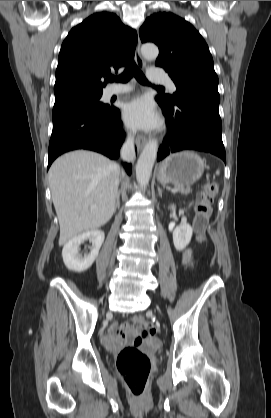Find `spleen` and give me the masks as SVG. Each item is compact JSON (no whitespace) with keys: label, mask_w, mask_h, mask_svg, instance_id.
<instances>
[{"label":"spleen","mask_w":271,"mask_h":418,"mask_svg":"<svg viewBox=\"0 0 271 418\" xmlns=\"http://www.w3.org/2000/svg\"><path fill=\"white\" fill-rule=\"evenodd\" d=\"M216 174L219 175V170L216 171Z\"/></svg>","instance_id":"1"}]
</instances>
